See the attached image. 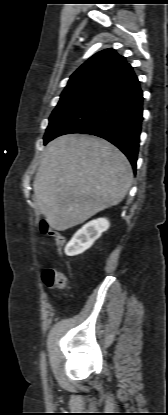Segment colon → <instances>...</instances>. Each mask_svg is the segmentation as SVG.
I'll return each instance as SVG.
<instances>
[{"label":"colon","mask_w":168,"mask_h":415,"mask_svg":"<svg viewBox=\"0 0 168 415\" xmlns=\"http://www.w3.org/2000/svg\"><path fill=\"white\" fill-rule=\"evenodd\" d=\"M40 230L43 234L50 236L59 249L63 248L65 238L61 232L49 228L45 222H41ZM43 281L47 286L55 287L59 290H65L68 285L67 275L59 267L46 269L43 273Z\"/></svg>","instance_id":"colon-1"}]
</instances>
